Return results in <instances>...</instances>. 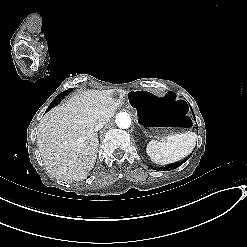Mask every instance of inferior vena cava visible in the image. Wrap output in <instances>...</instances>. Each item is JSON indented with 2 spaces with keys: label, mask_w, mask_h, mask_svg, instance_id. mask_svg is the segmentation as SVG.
<instances>
[{
  "label": "inferior vena cava",
  "mask_w": 247,
  "mask_h": 247,
  "mask_svg": "<svg viewBox=\"0 0 247 247\" xmlns=\"http://www.w3.org/2000/svg\"><path fill=\"white\" fill-rule=\"evenodd\" d=\"M105 125V122H98L97 124H96V126H95V130L96 131H99V130H101L102 128H103V126Z\"/></svg>",
  "instance_id": "inferior-vena-cava-1"
}]
</instances>
